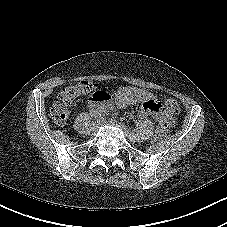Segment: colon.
Listing matches in <instances>:
<instances>
[{"instance_id": "colon-1", "label": "colon", "mask_w": 227, "mask_h": 227, "mask_svg": "<svg viewBox=\"0 0 227 227\" xmlns=\"http://www.w3.org/2000/svg\"><path fill=\"white\" fill-rule=\"evenodd\" d=\"M97 86V83L92 81H80L62 89L50 109V117L52 118L53 122L57 125H64L69 116L68 107L73 100L79 96L91 95L92 99L108 100V94L95 91ZM163 108L170 120H172V118L178 114L180 109L179 103L172 97L164 98ZM168 135V123L160 124L155 131V136L157 138H165Z\"/></svg>"}]
</instances>
